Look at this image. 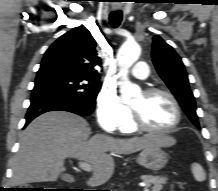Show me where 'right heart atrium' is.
<instances>
[{"mask_svg": "<svg viewBox=\"0 0 218 191\" xmlns=\"http://www.w3.org/2000/svg\"><path fill=\"white\" fill-rule=\"evenodd\" d=\"M131 112L111 89L100 92L96 103V119L106 132H115L130 120Z\"/></svg>", "mask_w": 218, "mask_h": 191, "instance_id": "1", "label": "right heart atrium"}]
</instances>
